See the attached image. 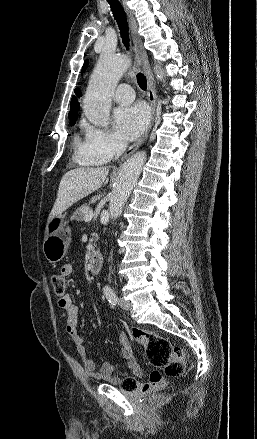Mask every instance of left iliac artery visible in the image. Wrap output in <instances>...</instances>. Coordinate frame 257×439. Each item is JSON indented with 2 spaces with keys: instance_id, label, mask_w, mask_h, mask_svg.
<instances>
[{
  "instance_id": "obj_1",
  "label": "left iliac artery",
  "mask_w": 257,
  "mask_h": 439,
  "mask_svg": "<svg viewBox=\"0 0 257 439\" xmlns=\"http://www.w3.org/2000/svg\"><path fill=\"white\" fill-rule=\"evenodd\" d=\"M103 292L110 304L115 305L117 303L116 294L110 286L106 285L103 288Z\"/></svg>"
}]
</instances>
